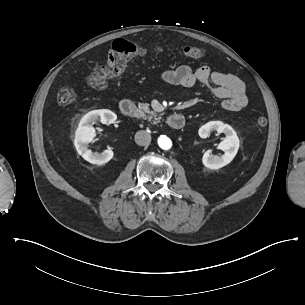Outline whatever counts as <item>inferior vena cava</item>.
Returning <instances> with one entry per match:
<instances>
[{
  "label": "inferior vena cava",
  "mask_w": 305,
  "mask_h": 305,
  "mask_svg": "<svg viewBox=\"0 0 305 305\" xmlns=\"http://www.w3.org/2000/svg\"><path fill=\"white\" fill-rule=\"evenodd\" d=\"M135 142L140 146L149 145L151 142V135L144 130H140L135 134Z\"/></svg>",
  "instance_id": "602c4592"
}]
</instances>
